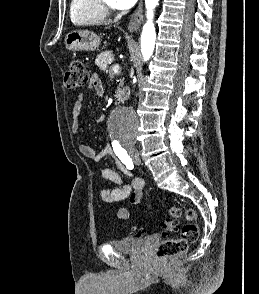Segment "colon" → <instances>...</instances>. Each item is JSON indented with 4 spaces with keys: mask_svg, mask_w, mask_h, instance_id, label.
Wrapping results in <instances>:
<instances>
[{
    "mask_svg": "<svg viewBox=\"0 0 259 294\" xmlns=\"http://www.w3.org/2000/svg\"><path fill=\"white\" fill-rule=\"evenodd\" d=\"M88 79L84 63L79 59H73L65 73V86L69 89L80 88L87 84ZM169 215L175 219L184 216L186 224L181 229L180 237L165 240L157 247L156 256L159 259H167L185 253L189 245L199 237L197 215L193 209L182 210L180 207L172 206L169 209ZM162 227L164 231L172 232L179 229V224L177 221L167 220Z\"/></svg>",
    "mask_w": 259,
    "mask_h": 294,
    "instance_id": "5ec220e1",
    "label": "colon"
}]
</instances>
